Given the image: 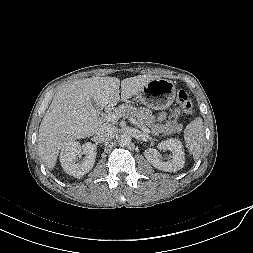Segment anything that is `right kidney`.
Segmentation results:
<instances>
[{"label":"right kidney","instance_id":"1","mask_svg":"<svg viewBox=\"0 0 253 253\" xmlns=\"http://www.w3.org/2000/svg\"><path fill=\"white\" fill-rule=\"evenodd\" d=\"M96 150V146L91 142L85 143L82 148L78 141L69 142L60 152V163L63 170L75 178H81L93 168L97 154ZM81 152L86 154V157L79 164L76 161Z\"/></svg>","mask_w":253,"mask_h":253}]
</instances>
